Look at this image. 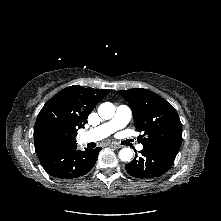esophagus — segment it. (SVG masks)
I'll return each mask as SVG.
<instances>
[{"label": "esophagus", "instance_id": "esophagus-1", "mask_svg": "<svg viewBox=\"0 0 221 221\" xmlns=\"http://www.w3.org/2000/svg\"><path fill=\"white\" fill-rule=\"evenodd\" d=\"M109 146H110L111 148H114V149H119V148H121V145H119V144H117V143H110Z\"/></svg>", "mask_w": 221, "mask_h": 221}]
</instances>
